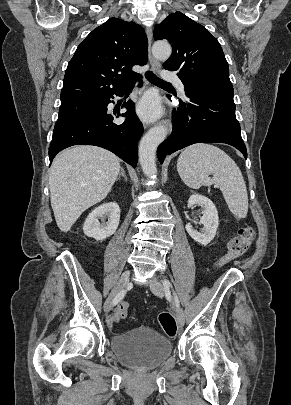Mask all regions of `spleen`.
I'll return each mask as SVG.
<instances>
[{
  "label": "spleen",
  "instance_id": "spleen-1",
  "mask_svg": "<svg viewBox=\"0 0 291 405\" xmlns=\"http://www.w3.org/2000/svg\"><path fill=\"white\" fill-rule=\"evenodd\" d=\"M177 171L190 188L214 184L220 188L229 210L236 218H245L248 213V195L242 173L220 148L210 144H195L187 147L177 160ZM212 174L213 178L209 175Z\"/></svg>",
  "mask_w": 291,
  "mask_h": 405
}]
</instances>
